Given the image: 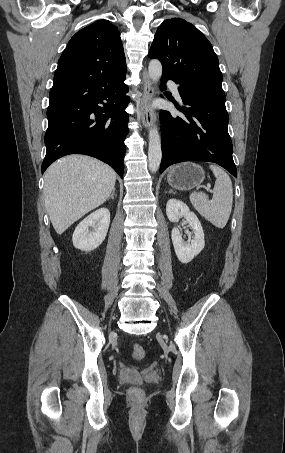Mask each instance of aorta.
Masks as SVG:
<instances>
[{"mask_svg":"<svg viewBox=\"0 0 285 453\" xmlns=\"http://www.w3.org/2000/svg\"><path fill=\"white\" fill-rule=\"evenodd\" d=\"M148 73L151 80L156 83L162 75V65L159 60L153 59L148 66ZM162 150L161 138L156 127L149 131V147H148V167L152 173H155L161 163Z\"/></svg>","mask_w":285,"mask_h":453,"instance_id":"obj_1","label":"aorta"}]
</instances>
